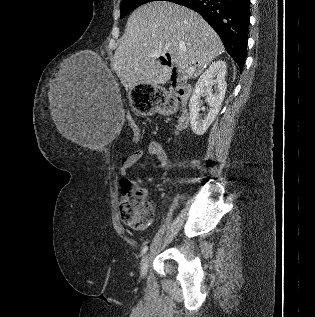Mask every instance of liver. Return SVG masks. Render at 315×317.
Listing matches in <instances>:
<instances>
[{"label":"liver","instance_id":"liver-1","mask_svg":"<svg viewBox=\"0 0 315 317\" xmlns=\"http://www.w3.org/2000/svg\"><path fill=\"white\" fill-rule=\"evenodd\" d=\"M223 50L217 33L198 13L171 2L156 1L130 15L112 67L126 89L140 84L159 85L169 81L172 74V67L160 64V56L169 53L173 65L186 71L194 68V73L187 75L197 77ZM57 86L50 99L52 119L65 138L84 145L70 85L61 81Z\"/></svg>","mask_w":315,"mask_h":317}]
</instances>
